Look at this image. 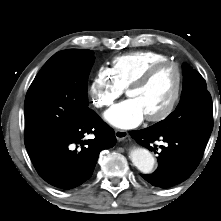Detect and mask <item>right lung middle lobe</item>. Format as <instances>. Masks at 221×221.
Listing matches in <instances>:
<instances>
[{"mask_svg": "<svg viewBox=\"0 0 221 221\" xmlns=\"http://www.w3.org/2000/svg\"><path fill=\"white\" fill-rule=\"evenodd\" d=\"M93 62L92 51L69 49L45 63L25 98V138L71 132L90 113L87 83Z\"/></svg>", "mask_w": 221, "mask_h": 221, "instance_id": "1", "label": "right lung middle lobe"}]
</instances>
